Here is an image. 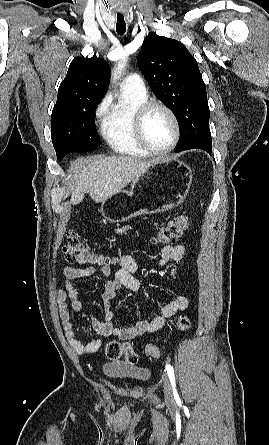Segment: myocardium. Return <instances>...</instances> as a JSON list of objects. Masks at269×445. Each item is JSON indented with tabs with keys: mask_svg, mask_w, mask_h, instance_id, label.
<instances>
[{
	"mask_svg": "<svg viewBox=\"0 0 269 445\" xmlns=\"http://www.w3.org/2000/svg\"><path fill=\"white\" fill-rule=\"evenodd\" d=\"M156 108L165 111L171 118L174 126V136L170 145L166 149L161 151L153 149L148 144L144 134V123L146 117L151 110ZM133 128H134V135L139 146L149 155L156 157H163L170 154L176 148L181 136L180 122L175 112L166 104L155 100H146L145 102H143L141 105L138 106V108L134 113Z\"/></svg>",
	"mask_w": 269,
	"mask_h": 445,
	"instance_id": "1",
	"label": "myocardium"
}]
</instances>
